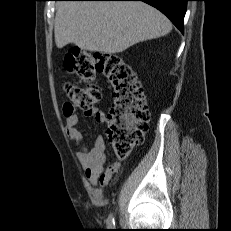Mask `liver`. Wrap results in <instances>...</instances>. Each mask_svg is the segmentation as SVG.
Wrapping results in <instances>:
<instances>
[{
    "instance_id": "obj_1",
    "label": "liver",
    "mask_w": 231,
    "mask_h": 231,
    "mask_svg": "<svg viewBox=\"0 0 231 231\" xmlns=\"http://www.w3.org/2000/svg\"><path fill=\"white\" fill-rule=\"evenodd\" d=\"M172 23L157 9L135 1H60L54 35L58 48L116 54L146 40L165 36Z\"/></svg>"
}]
</instances>
